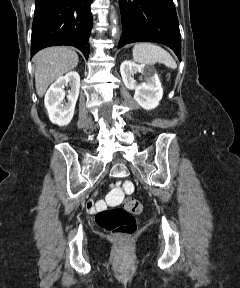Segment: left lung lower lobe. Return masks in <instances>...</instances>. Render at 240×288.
I'll return each instance as SVG.
<instances>
[{
  "label": "left lung lower lobe",
  "instance_id": "0a47b994",
  "mask_svg": "<svg viewBox=\"0 0 240 288\" xmlns=\"http://www.w3.org/2000/svg\"><path fill=\"white\" fill-rule=\"evenodd\" d=\"M122 36L118 48L133 42L169 46L181 60V35L173 0H119Z\"/></svg>",
  "mask_w": 240,
  "mask_h": 288
}]
</instances>
